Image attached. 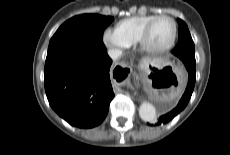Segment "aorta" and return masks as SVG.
Segmentation results:
<instances>
[{"label":"aorta","instance_id":"762f6f07","mask_svg":"<svg viewBox=\"0 0 230 155\" xmlns=\"http://www.w3.org/2000/svg\"><path fill=\"white\" fill-rule=\"evenodd\" d=\"M139 115L143 121L153 122L156 118V109L149 102H143L139 108Z\"/></svg>","mask_w":230,"mask_h":155}]
</instances>
